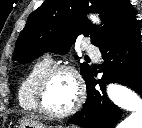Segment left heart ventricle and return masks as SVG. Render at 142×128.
I'll return each instance as SVG.
<instances>
[{"mask_svg": "<svg viewBox=\"0 0 142 128\" xmlns=\"http://www.w3.org/2000/svg\"><path fill=\"white\" fill-rule=\"evenodd\" d=\"M76 84L68 72L53 75L44 94L45 106L53 112L68 110L76 99Z\"/></svg>", "mask_w": 142, "mask_h": 128, "instance_id": "b2bd125f", "label": "left heart ventricle"}]
</instances>
